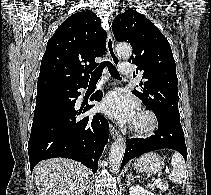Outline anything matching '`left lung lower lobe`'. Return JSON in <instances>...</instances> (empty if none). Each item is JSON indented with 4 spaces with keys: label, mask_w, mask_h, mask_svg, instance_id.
<instances>
[{
    "label": "left lung lower lobe",
    "mask_w": 211,
    "mask_h": 195,
    "mask_svg": "<svg viewBox=\"0 0 211 195\" xmlns=\"http://www.w3.org/2000/svg\"><path fill=\"white\" fill-rule=\"evenodd\" d=\"M156 118L158 129L155 135L146 139L132 138L128 141L121 169L135 156L165 148L176 150L187 159V147L180 119L165 115H156Z\"/></svg>",
    "instance_id": "left-lung-lower-lobe-1"
}]
</instances>
